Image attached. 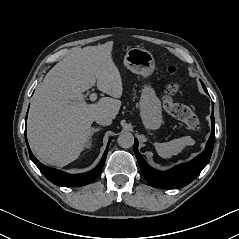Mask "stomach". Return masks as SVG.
Wrapping results in <instances>:
<instances>
[{"instance_id": "stomach-1", "label": "stomach", "mask_w": 239, "mask_h": 239, "mask_svg": "<svg viewBox=\"0 0 239 239\" xmlns=\"http://www.w3.org/2000/svg\"><path fill=\"white\" fill-rule=\"evenodd\" d=\"M124 65L133 73L150 76L155 69L151 52L142 48H131L124 58ZM140 116L146 129L156 130L162 124L161 101L151 85L143 87L140 96Z\"/></svg>"}]
</instances>
